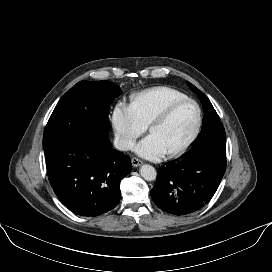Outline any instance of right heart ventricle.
Instances as JSON below:
<instances>
[{
  "label": "right heart ventricle",
  "instance_id": "1",
  "mask_svg": "<svg viewBox=\"0 0 272 272\" xmlns=\"http://www.w3.org/2000/svg\"><path fill=\"white\" fill-rule=\"evenodd\" d=\"M184 98H187V96L177 89L168 86H156L133 94L130 98V107L146 127L166 106Z\"/></svg>",
  "mask_w": 272,
  "mask_h": 272
}]
</instances>
